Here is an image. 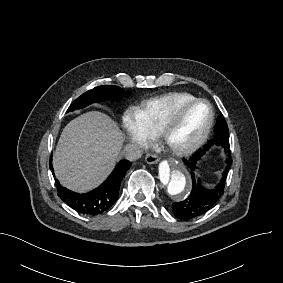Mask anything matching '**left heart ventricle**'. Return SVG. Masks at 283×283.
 <instances>
[{
    "instance_id": "1",
    "label": "left heart ventricle",
    "mask_w": 283,
    "mask_h": 283,
    "mask_svg": "<svg viewBox=\"0 0 283 283\" xmlns=\"http://www.w3.org/2000/svg\"><path fill=\"white\" fill-rule=\"evenodd\" d=\"M165 116L169 145L180 149L192 144L200 135L209 119V110L205 104L187 108L171 104L167 106Z\"/></svg>"
}]
</instances>
